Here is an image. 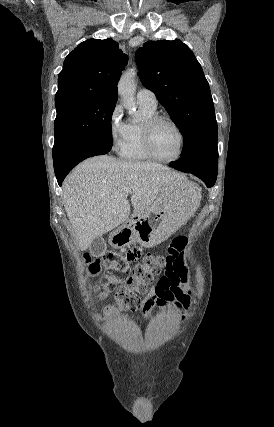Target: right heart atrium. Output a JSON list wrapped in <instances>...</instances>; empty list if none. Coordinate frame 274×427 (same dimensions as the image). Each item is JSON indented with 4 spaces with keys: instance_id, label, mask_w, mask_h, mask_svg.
Returning <instances> with one entry per match:
<instances>
[{
    "instance_id": "1",
    "label": "right heart atrium",
    "mask_w": 274,
    "mask_h": 427,
    "mask_svg": "<svg viewBox=\"0 0 274 427\" xmlns=\"http://www.w3.org/2000/svg\"><path fill=\"white\" fill-rule=\"evenodd\" d=\"M107 133L112 149H119L125 137L126 124L121 120L118 106L114 107L108 115Z\"/></svg>"
}]
</instances>
